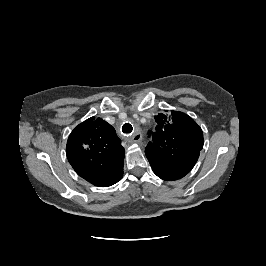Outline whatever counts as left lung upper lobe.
I'll use <instances>...</instances> for the list:
<instances>
[{
	"instance_id": "1",
	"label": "left lung upper lobe",
	"mask_w": 266,
	"mask_h": 266,
	"mask_svg": "<svg viewBox=\"0 0 266 266\" xmlns=\"http://www.w3.org/2000/svg\"><path fill=\"white\" fill-rule=\"evenodd\" d=\"M156 131L145 149L153 172L163 180H178L188 174L203 148V133L188 115L171 111L155 116ZM152 134V132H149Z\"/></svg>"
}]
</instances>
